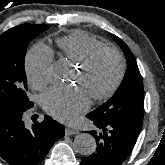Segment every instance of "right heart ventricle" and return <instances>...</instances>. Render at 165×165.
I'll list each match as a JSON object with an SVG mask.
<instances>
[{"label":"right heart ventricle","instance_id":"1","mask_svg":"<svg viewBox=\"0 0 165 165\" xmlns=\"http://www.w3.org/2000/svg\"><path fill=\"white\" fill-rule=\"evenodd\" d=\"M56 44L62 55L76 64L93 50L104 46L103 42L81 30L57 38Z\"/></svg>","mask_w":165,"mask_h":165}]
</instances>
